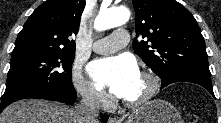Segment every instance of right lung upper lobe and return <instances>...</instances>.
Wrapping results in <instances>:
<instances>
[{"mask_svg": "<svg viewBox=\"0 0 221 123\" xmlns=\"http://www.w3.org/2000/svg\"><path fill=\"white\" fill-rule=\"evenodd\" d=\"M85 0H47L30 15L18 34L13 51L39 48L75 52Z\"/></svg>", "mask_w": 221, "mask_h": 123, "instance_id": "cb5924a9", "label": "right lung upper lobe"}]
</instances>
